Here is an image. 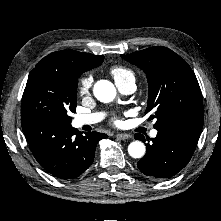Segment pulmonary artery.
<instances>
[{"instance_id": "pulmonary-artery-1", "label": "pulmonary artery", "mask_w": 221, "mask_h": 221, "mask_svg": "<svg viewBox=\"0 0 221 221\" xmlns=\"http://www.w3.org/2000/svg\"><path fill=\"white\" fill-rule=\"evenodd\" d=\"M117 87L119 90L124 93V94H130L135 90V81L134 80H129L127 82L117 84ZM102 114L100 113H91V114H83V115H78L74 118V125L76 127H81L84 125H91L99 122L102 119ZM150 135L152 137H156L157 135V130L153 129L150 132Z\"/></svg>"}]
</instances>
